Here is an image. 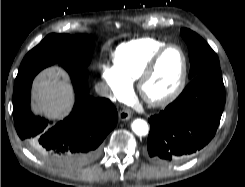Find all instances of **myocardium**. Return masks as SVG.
<instances>
[{
	"mask_svg": "<svg viewBox=\"0 0 245 187\" xmlns=\"http://www.w3.org/2000/svg\"><path fill=\"white\" fill-rule=\"evenodd\" d=\"M170 49H177L182 57V70L175 87L166 95L160 98H152L146 93V85L151 77L154 75L158 63L163 55ZM188 75V59L184 50L176 44H166L159 49L148 61L147 65L141 72L137 80V89L141 98L150 106L153 107H165L175 101L185 88Z\"/></svg>",
	"mask_w": 245,
	"mask_h": 187,
	"instance_id": "myocardium-1",
	"label": "myocardium"
}]
</instances>
